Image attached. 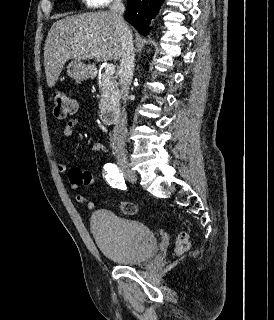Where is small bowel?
<instances>
[{
  "label": "small bowel",
  "instance_id": "c3829d8e",
  "mask_svg": "<svg viewBox=\"0 0 274 320\" xmlns=\"http://www.w3.org/2000/svg\"><path fill=\"white\" fill-rule=\"evenodd\" d=\"M75 109H76V103H75ZM82 121L80 119H72L69 122H67L62 130V137L64 140L69 139L74 132V129L76 126H78L79 124H81ZM91 151L93 152H105V148L103 145L101 144H94L91 146L90 148ZM68 170V166L65 162H61L58 164V171L60 173H65ZM83 172L87 173L89 176H91V174L88 171H84ZM72 189H76L78 187L71 185ZM76 201L80 204H84L87 209L89 210H93L94 209V203L93 201L89 200L87 197H85L84 195H77L76 196Z\"/></svg>",
  "mask_w": 274,
  "mask_h": 320
}]
</instances>
